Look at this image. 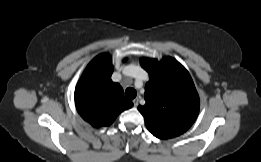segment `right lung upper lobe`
<instances>
[{"label":"right lung upper lobe","mask_w":261,"mask_h":162,"mask_svg":"<svg viewBox=\"0 0 261 162\" xmlns=\"http://www.w3.org/2000/svg\"><path fill=\"white\" fill-rule=\"evenodd\" d=\"M113 69L109 54L96 56L88 64L75 89L76 109L94 127L112 124L122 111L133 106L124 98L120 84L111 80Z\"/></svg>","instance_id":"cb5924a9"}]
</instances>
